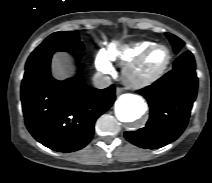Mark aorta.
<instances>
[{"label": "aorta", "instance_id": "obj_1", "mask_svg": "<svg viewBox=\"0 0 212 183\" xmlns=\"http://www.w3.org/2000/svg\"><path fill=\"white\" fill-rule=\"evenodd\" d=\"M147 110L144 100L135 94L122 95L115 104V114L121 122H135Z\"/></svg>", "mask_w": 212, "mask_h": 183}]
</instances>
